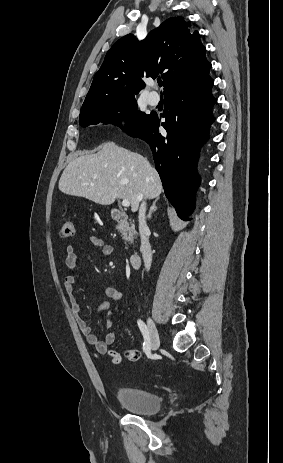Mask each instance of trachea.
<instances>
[{
  "label": "trachea",
  "mask_w": 283,
  "mask_h": 463,
  "mask_svg": "<svg viewBox=\"0 0 283 463\" xmlns=\"http://www.w3.org/2000/svg\"><path fill=\"white\" fill-rule=\"evenodd\" d=\"M158 85L161 87L162 86V81H158Z\"/></svg>",
  "instance_id": "3493384b"
}]
</instances>
